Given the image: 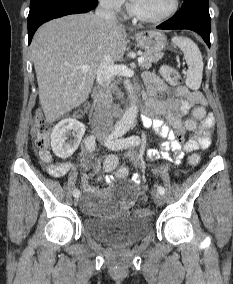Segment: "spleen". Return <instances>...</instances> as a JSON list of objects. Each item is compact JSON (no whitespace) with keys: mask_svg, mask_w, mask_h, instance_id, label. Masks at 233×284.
I'll return each instance as SVG.
<instances>
[{"mask_svg":"<svg viewBox=\"0 0 233 284\" xmlns=\"http://www.w3.org/2000/svg\"><path fill=\"white\" fill-rule=\"evenodd\" d=\"M172 41L183 52L189 67L186 77V85L193 90L200 88L203 75V58L198 46L189 38L173 37Z\"/></svg>","mask_w":233,"mask_h":284,"instance_id":"1","label":"spleen"}]
</instances>
